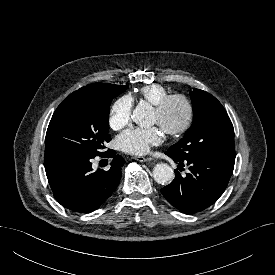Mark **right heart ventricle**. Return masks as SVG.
Masks as SVG:
<instances>
[{"mask_svg":"<svg viewBox=\"0 0 275 275\" xmlns=\"http://www.w3.org/2000/svg\"><path fill=\"white\" fill-rule=\"evenodd\" d=\"M139 98L152 105H157L163 98L169 95V91L160 84L146 85L139 90Z\"/></svg>","mask_w":275,"mask_h":275,"instance_id":"obj_1","label":"right heart ventricle"}]
</instances>
